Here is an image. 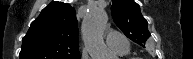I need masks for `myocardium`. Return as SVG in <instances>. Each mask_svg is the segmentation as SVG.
<instances>
[{"instance_id":"myocardium-1","label":"myocardium","mask_w":193,"mask_h":59,"mask_svg":"<svg viewBox=\"0 0 193 59\" xmlns=\"http://www.w3.org/2000/svg\"><path fill=\"white\" fill-rule=\"evenodd\" d=\"M121 59H140V58H121Z\"/></svg>"}]
</instances>
